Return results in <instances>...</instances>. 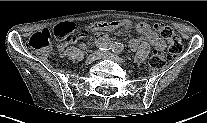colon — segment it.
Here are the masks:
<instances>
[{
    "mask_svg": "<svg viewBox=\"0 0 207 123\" xmlns=\"http://www.w3.org/2000/svg\"><path fill=\"white\" fill-rule=\"evenodd\" d=\"M154 29L168 41L167 54L157 52L148 61L149 69L157 71L163 67L166 57L172 58L180 55L183 52L184 46L179 36L170 26L156 23L154 24ZM52 33L61 43L71 42L75 39V26L70 22H62L57 24L53 31L42 29L31 36L29 46L37 52L49 55L52 50L50 45Z\"/></svg>",
    "mask_w": 207,
    "mask_h": 123,
    "instance_id": "colon-1",
    "label": "colon"
}]
</instances>
